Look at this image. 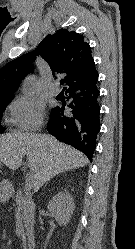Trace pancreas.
Returning <instances> with one entry per match:
<instances>
[{
  "label": "pancreas",
  "mask_w": 135,
  "mask_h": 249,
  "mask_svg": "<svg viewBox=\"0 0 135 249\" xmlns=\"http://www.w3.org/2000/svg\"><path fill=\"white\" fill-rule=\"evenodd\" d=\"M16 204L18 205V210L22 211L23 219L28 223L33 218L34 204L26 196L22 194L21 191L17 192Z\"/></svg>",
  "instance_id": "cf45deb5"
}]
</instances>
